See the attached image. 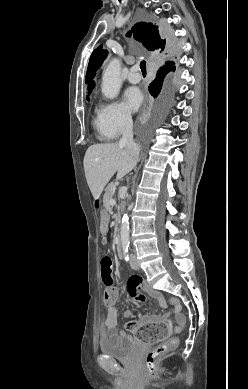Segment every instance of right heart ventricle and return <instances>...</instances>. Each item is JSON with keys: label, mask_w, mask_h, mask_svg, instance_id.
<instances>
[{"label": "right heart ventricle", "mask_w": 248, "mask_h": 389, "mask_svg": "<svg viewBox=\"0 0 248 389\" xmlns=\"http://www.w3.org/2000/svg\"><path fill=\"white\" fill-rule=\"evenodd\" d=\"M92 124L95 130L96 137L99 140L108 141L114 137L106 126L101 108L96 110Z\"/></svg>", "instance_id": "right-heart-ventricle-1"}]
</instances>
